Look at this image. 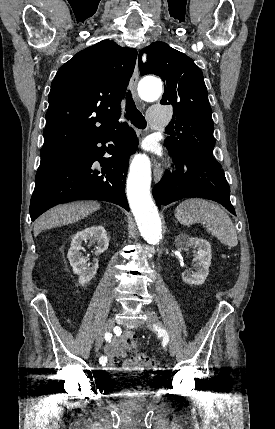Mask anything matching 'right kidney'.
I'll use <instances>...</instances> for the list:
<instances>
[{"label":"right kidney","instance_id":"ca27d5eb","mask_svg":"<svg viewBox=\"0 0 275 429\" xmlns=\"http://www.w3.org/2000/svg\"><path fill=\"white\" fill-rule=\"evenodd\" d=\"M87 240H89L91 244L97 243L95 251L96 256L105 252L109 246V239L102 226L85 228L72 237L67 257L73 272L79 275V283L81 285L88 283L96 275L98 269L97 258L94 259L93 264L88 262V258L82 256V242H87Z\"/></svg>","mask_w":275,"mask_h":429}]
</instances>
